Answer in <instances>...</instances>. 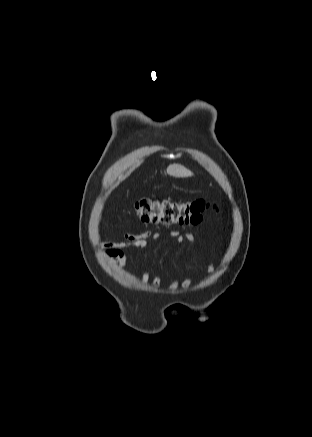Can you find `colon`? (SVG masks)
Here are the masks:
<instances>
[{
	"mask_svg": "<svg viewBox=\"0 0 312 437\" xmlns=\"http://www.w3.org/2000/svg\"><path fill=\"white\" fill-rule=\"evenodd\" d=\"M215 205L204 200L179 202L171 199L142 198L136 201L134 210L137 218L147 224L197 225L205 213Z\"/></svg>",
	"mask_w": 312,
	"mask_h": 437,
	"instance_id": "1",
	"label": "colon"
}]
</instances>
